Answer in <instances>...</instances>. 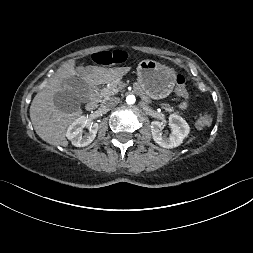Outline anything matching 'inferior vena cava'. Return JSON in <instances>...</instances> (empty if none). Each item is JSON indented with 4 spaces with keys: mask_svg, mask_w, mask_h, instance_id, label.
Returning a JSON list of instances; mask_svg holds the SVG:
<instances>
[{
    "mask_svg": "<svg viewBox=\"0 0 253 253\" xmlns=\"http://www.w3.org/2000/svg\"><path fill=\"white\" fill-rule=\"evenodd\" d=\"M120 101V98L114 97V98H110L108 100H105L102 104V107L110 109L115 107Z\"/></svg>",
    "mask_w": 253,
    "mask_h": 253,
    "instance_id": "inferior-vena-cava-1",
    "label": "inferior vena cava"
}]
</instances>
